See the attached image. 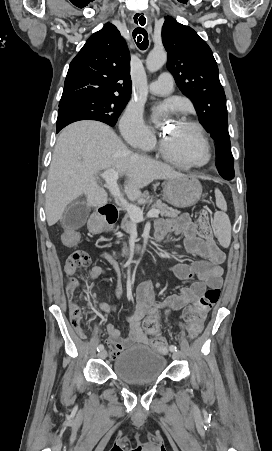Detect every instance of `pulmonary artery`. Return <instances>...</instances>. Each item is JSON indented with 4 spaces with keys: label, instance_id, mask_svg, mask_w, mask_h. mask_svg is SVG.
Listing matches in <instances>:
<instances>
[{
    "label": "pulmonary artery",
    "instance_id": "1",
    "mask_svg": "<svg viewBox=\"0 0 272 451\" xmlns=\"http://www.w3.org/2000/svg\"><path fill=\"white\" fill-rule=\"evenodd\" d=\"M173 85V77L168 73H163L156 81L148 85L146 90L153 95L168 96L173 91Z\"/></svg>",
    "mask_w": 272,
    "mask_h": 451
}]
</instances>
